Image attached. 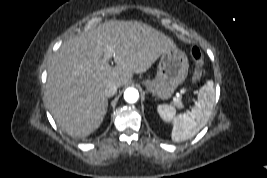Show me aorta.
<instances>
[{"mask_svg": "<svg viewBox=\"0 0 267 178\" xmlns=\"http://www.w3.org/2000/svg\"><path fill=\"white\" fill-rule=\"evenodd\" d=\"M139 98V92L135 88H127L124 92V99L128 103H135Z\"/></svg>", "mask_w": 267, "mask_h": 178, "instance_id": "obj_1", "label": "aorta"}]
</instances>
